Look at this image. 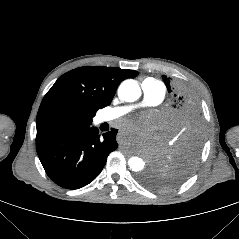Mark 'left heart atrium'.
<instances>
[{"instance_id":"obj_1","label":"left heart atrium","mask_w":239,"mask_h":239,"mask_svg":"<svg viewBox=\"0 0 239 239\" xmlns=\"http://www.w3.org/2000/svg\"><path fill=\"white\" fill-rule=\"evenodd\" d=\"M125 129H147L148 125L144 116H138L133 119H127L122 122Z\"/></svg>"}]
</instances>
